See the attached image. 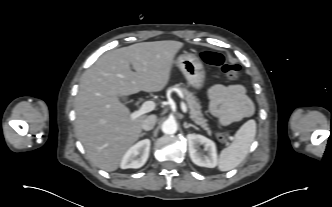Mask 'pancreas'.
<instances>
[{"instance_id":"pancreas-1","label":"pancreas","mask_w":332,"mask_h":207,"mask_svg":"<svg viewBox=\"0 0 332 207\" xmlns=\"http://www.w3.org/2000/svg\"><path fill=\"white\" fill-rule=\"evenodd\" d=\"M175 87L180 89V91L184 95V98H185V100L188 104V107L190 109V118H191V120L195 124L202 127L207 132V134L209 136H211L212 132H211L210 127L207 123V120L205 118H203V114L201 112V106L199 104L198 99L191 92H189L187 89L180 87V85H175ZM216 136L217 137L226 136V134L217 133Z\"/></svg>"}]
</instances>
